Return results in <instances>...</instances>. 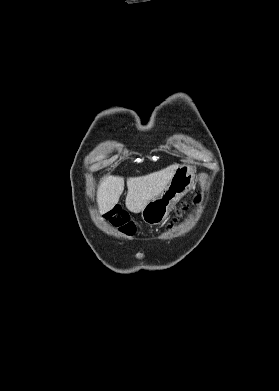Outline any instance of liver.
<instances>
[{
	"instance_id": "1",
	"label": "liver",
	"mask_w": 279,
	"mask_h": 391,
	"mask_svg": "<svg viewBox=\"0 0 279 391\" xmlns=\"http://www.w3.org/2000/svg\"><path fill=\"white\" fill-rule=\"evenodd\" d=\"M178 164L146 176L128 178L126 207L133 213L141 212L154 197L158 196L174 176ZM124 190V179L118 176H107L101 182L97 192L100 212L110 211L119 201Z\"/></svg>"
}]
</instances>
